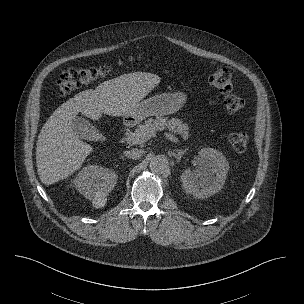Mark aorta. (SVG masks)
I'll list each match as a JSON object with an SVG mask.
<instances>
[{"label": "aorta", "mask_w": 304, "mask_h": 304, "mask_svg": "<svg viewBox=\"0 0 304 304\" xmlns=\"http://www.w3.org/2000/svg\"><path fill=\"white\" fill-rule=\"evenodd\" d=\"M149 167L153 173L162 174L168 169L169 162L166 156L156 155L150 160Z\"/></svg>", "instance_id": "obj_1"}]
</instances>
